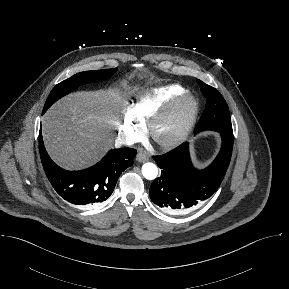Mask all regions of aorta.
I'll use <instances>...</instances> for the list:
<instances>
[{"label":"aorta","mask_w":289,"mask_h":289,"mask_svg":"<svg viewBox=\"0 0 289 289\" xmlns=\"http://www.w3.org/2000/svg\"><path fill=\"white\" fill-rule=\"evenodd\" d=\"M142 174L148 180H153L158 175V168L153 163H145L142 166Z\"/></svg>","instance_id":"1"}]
</instances>
